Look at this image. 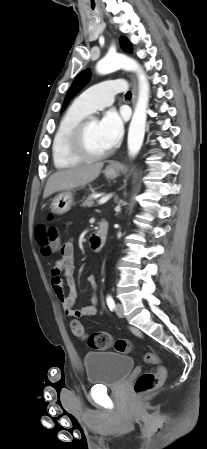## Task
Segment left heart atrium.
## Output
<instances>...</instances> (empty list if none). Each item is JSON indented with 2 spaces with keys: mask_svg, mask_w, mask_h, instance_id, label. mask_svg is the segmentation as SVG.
I'll return each mask as SVG.
<instances>
[{
  "mask_svg": "<svg viewBox=\"0 0 207 449\" xmlns=\"http://www.w3.org/2000/svg\"><path fill=\"white\" fill-rule=\"evenodd\" d=\"M99 128L109 147H112L116 145L122 137L124 117L115 110H110L99 122Z\"/></svg>",
  "mask_w": 207,
  "mask_h": 449,
  "instance_id": "obj_1",
  "label": "left heart atrium"
}]
</instances>
